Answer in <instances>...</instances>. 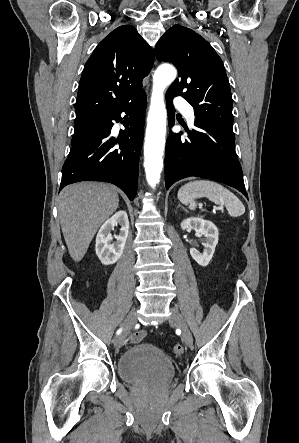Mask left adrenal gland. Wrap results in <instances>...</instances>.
I'll use <instances>...</instances> for the list:
<instances>
[{"mask_svg": "<svg viewBox=\"0 0 299 443\" xmlns=\"http://www.w3.org/2000/svg\"><path fill=\"white\" fill-rule=\"evenodd\" d=\"M178 207H182L180 204L178 205ZM183 208V207H182ZM184 209V208H183Z\"/></svg>", "mask_w": 299, "mask_h": 443, "instance_id": "left-adrenal-gland-1", "label": "left adrenal gland"}]
</instances>
